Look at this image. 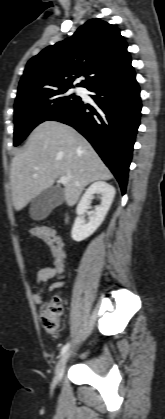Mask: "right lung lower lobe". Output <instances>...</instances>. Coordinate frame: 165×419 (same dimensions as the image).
Listing matches in <instances>:
<instances>
[{
    "mask_svg": "<svg viewBox=\"0 0 165 419\" xmlns=\"http://www.w3.org/2000/svg\"><path fill=\"white\" fill-rule=\"evenodd\" d=\"M87 89L93 93L96 109L80 100L48 120L70 125L86 137L125 193L142 108L131 62Z\"/></svg>",
    "mask_w": 165,
    "mask_h": 419,
    "instance_id": "obj_1",
    "label": "right lung lower lobe"
}]
</instances>
